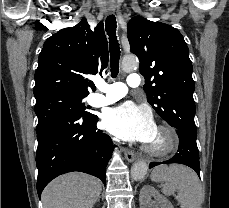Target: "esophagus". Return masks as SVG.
<instances>
[{
	"label": "esophagus",
	"mask_w": 229,
	"mask_h": 208,
	"mask_svg": "<svg viewBox=\"0 0 229 208\" xmlns=\"http://www.w3.org/2000/svg\"><path fill=\"white\" fill-rule=\"evenodd\" d=\"M109 10H110V11H113L114 8L110 7ZM124 155H125V158H126L129 162H133V161L136 160V158H137V155H136L133 151H131V150H129V149H125V150H124Z\"/></svg>",
	"instance_id": "34e87169"
}]
</instances>
